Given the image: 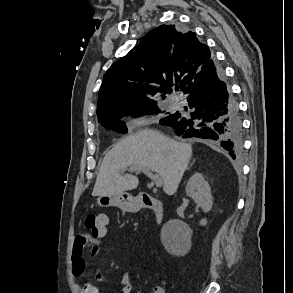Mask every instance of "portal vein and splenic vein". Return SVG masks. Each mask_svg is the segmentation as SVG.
I'll use <instances>...</instances> for the list:
<instances>
[{"label": "portal vein and splenic vein", "instance_id": "obj_1", "mask_svg": "<svg viewBox=\"0 0 293 293\" xmlns=\"http://www.w3.org/2000/svg\"><path fill=\"white\" fill-rule=\"evenodd\" d=\"M130 170L131 171H142L149 178H151L153 180V182L155 183V185L157 187H161L162 184H163V180L160 178V176L157 175V174H153L148 168H145V167H131Z\"/></svg>", "mask_w": 293, "mask_h": 293}]
</instances>
